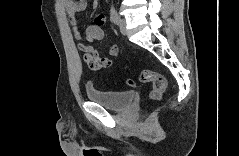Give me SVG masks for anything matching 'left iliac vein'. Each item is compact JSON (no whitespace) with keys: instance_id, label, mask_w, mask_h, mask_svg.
Returning <instances> with one entry per match:
<instances>
[{"instance_id":"obj_1","label":"left iliac vein","mask_w":239,"mask_h":156,"mask_svg":"<svg viewBox=\"0 0 239 156\" xmlns=\"http://www.w3.org/2000/svg\"><path fill=\"white\" fill-rule=\"evenodd\" d=\"M119 29H120V32L123 34V35H126L127 33V30H126V21L125 19L121 18L119 20Z\"/></svg>"}]
</instances>
